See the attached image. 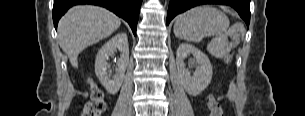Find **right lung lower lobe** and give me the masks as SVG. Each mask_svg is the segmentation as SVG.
Returning a JSON list of instances; mask_svg holds the SVG:
<instances>
[{
    "instance_id": "obj_1",
    "label": "right lung lower lobe",
    "mask_w": 305,
    "mask_h": 116,
    "mask_svg": "<svg viewBox=\"0 0 305 116\" xmlns=\"http://www.w3.org/2000/svg\"><path fill=\"white\" fill-rule=\"evenodd\" d=\"M142 0H54L53 22L57 29L59 19L73 5L94 4L103 6L125 19L133 33L136 35V27L139 18V10Z\"/></svg>"
}]
</instances>
